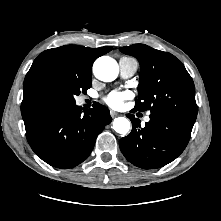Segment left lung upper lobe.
Here are the masks:
<instances>
[{
	"label": "left lung upper lobe",
	"mask_w": 221,
	"mask_h": 221,
	"mask_svg": "<svg viewBox=\"0 0 221 221\" xmlns=\"http://www.w3.org/2000/svg\"><path fill=\"white\" fill-rule=\"evenodd\" d=\"M140 63L136 110H150L195 122L197 105L193 80L182 62L174 55L144 44L121 47Z\"/></svg>",
	"instance_id": "5c2ea615"
}]
</instances>
